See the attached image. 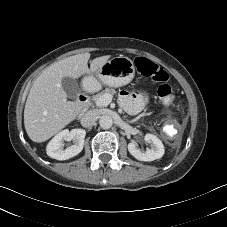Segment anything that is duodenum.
<instances>
[{"label": "duodenum", "instance_id": "410a0bca", "mask_svg": "<svg viewBox=\"0 0 227 227\" xmlns=\"http://www.w3.org/2000/svg\"><path fill=\"white\" fill-rule=\"evenodd\" d=\"M78 101L82 104L83 108H87L89 106V102L82 93L78 95Z\"/></svg>", "mask_w": 227, "mask_h": 227}]
</instances>
